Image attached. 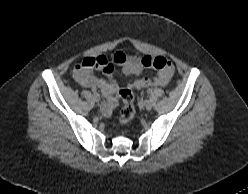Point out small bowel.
I'll use <instances>...</instances> for the list:
<instances>
[{
	"instance_id": "c3829d8e",
	"label": "small bowel",
	"mask_w": 248,
	"mask_h": 194,
	"mask_svg": "<svg viewBox=\"0 0 248 194\" xmlns=\"http://www.w3.org/2000/svg\"><path fill=\"white\" fill-rule=\"evenodd\" d=\"M144 58L138 55H128L121 51L116 52L111 60H108L103 55L87 57L75 67L73 77L82 87L100 90L104 96L110 98L119 88V84L113 79L114 66L119 65L122 73L125 75L140 74L146 68L143 64ZM92 61L96 62L98 67L87 66ZM95 70L102 71L106 75V78L95 75ZM173 71L174 67L169 62L168 69L158 70V74L155 77L146 76L137 79L129 84L128 87L137 90L164 87L170 82ZM111 109V102H107L102 106L104 115H109Z\"/></svg>"
}]
</instances>
